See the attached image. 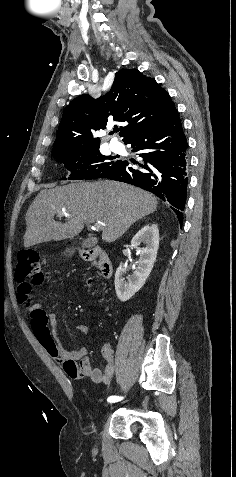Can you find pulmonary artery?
<instances>
[{
  "label": "pulmonary artery",
  "mask_w": 236,
  "mask_h": 477,
  "mask_svg": "<svg viewBox=\"0 0 236 477\" xmlns=\"http://www.w3.org/2000/svg\"><path fill=\"white\" fill-rule=\"evenodd\" d=\"M110 146L113 148V150H118L119 149V143L115 141H111Z\"/></svg>",
  "instance_id": "pulmonary-artery-1"
}]
</instances>
